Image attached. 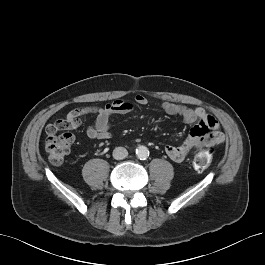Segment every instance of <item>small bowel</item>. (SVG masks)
I'll return each mask as SVG.
<instances>
[{
	"label": "small bowel",
	"instance_id": "c3829d8e",
	"mask_svg": "<svg viewBox=\"0 0 265 265\" xmlns=\"http://www.w3.org/2000/svg\"><path fill=\"white\" fill-rule=\"evenodd\" d=\"M138 106H146L149 101L146 97L138 95L135 98ZM161 109L171 116H179L186 123L197 124L191 129L189 135L179 145H167L165 152L174 162L184 161L188 153L196 148L207 145H217L224 142V134L220 131L218 122L203 108H191L186 105L164 102ZM134 110V105L125 101H115L105 107L87 106L72 109L67 117L73 121V128L80 125V118L84 115H96L95 122L86 130L90 139L102 140L110 138L111 117L124 115ZM210 132V136L207 133Z\"/></svg>",
	"mask_w": 265,
	"mask_h": 265
}]
</instances>
